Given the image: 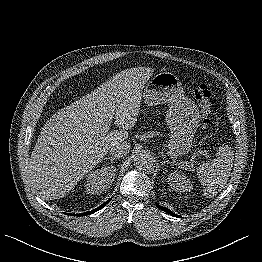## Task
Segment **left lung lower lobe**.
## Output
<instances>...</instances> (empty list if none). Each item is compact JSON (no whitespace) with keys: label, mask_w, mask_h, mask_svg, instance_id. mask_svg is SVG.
Returning <instances> with one entry per match:
<instances>
[{"label":"left lung lower lobe","mask_w":262,"mask_h":262,"mask_svg":"<svg viewBox=\"0 0 262 262\" xmlns=\"http://www.w3.org/2000/svg\"><path fill=\"white\" fill-rule=\"evenodd\" d=\"M157 206H158V208L162 209L163 211L169 213L171 216L179 217L178 215L174 214V213H173L172 211H170L169 209L164 208V207H162V206H160V205H157Z\"/></svg>","instance_id":"left-lung-lower-lobe-1"}]
</instances>
